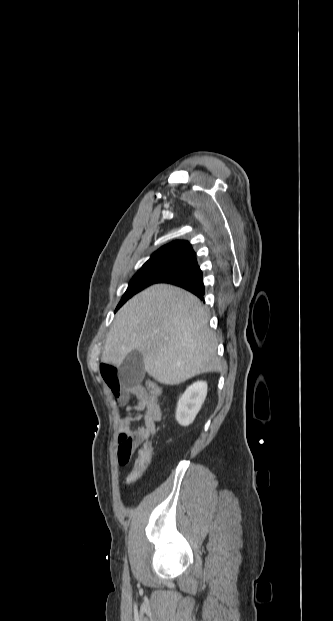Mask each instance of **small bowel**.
Here are the masks:
<instances>
[{"mask_svg": "<svg viewBox=\"0 0 333 621\" xmlns=\"http://www.w3.org/2000/svg\"><path fill=\"white\" fill-rule=\"evenodd\" d=\"M101 376L107 385L113 401L118 406L127 407V417L119 424L117 460L120 465L129 462L135 449L144 441L153 437L157 424L162 419V410L158 397L154 396L146 384L125 385L118 369L109 362L100 365ZM133 400V403H130ZM143 422V426L133 427Z\"/></svg>", "mask_w": 333, "mask_h": 621, "instance_id": "c3829d8e", "label": "small bowel"}]
</instances>
